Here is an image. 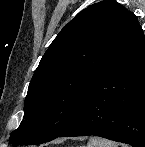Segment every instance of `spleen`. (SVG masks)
<instances>
[{
  "instance_id": "3e777b00",
  "label": "spleen",
  "mask_w": 145,
  "mask_h": 147,
  "mask_svg": "<svg viewBox=\"0 0 145 147\" xmlns=\"http://www.w3.org/2000/svg\"><path fill=\"white\" fill-rule=\"evenodd\" d=\"M87 147H117V145L112 141L94 137L89 140Z\"/></svg>"
}]
</instances>
